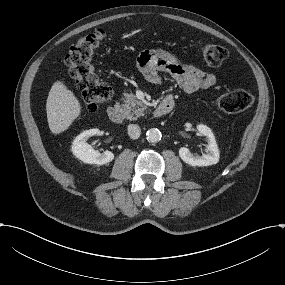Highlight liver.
Returning <instances> with one entry per match:
<instances>
[{"label": "liver", "instance_id": "1", "mask_svg": "<svg viewBox=\"0 0 285 285\" xmlns=\"http://www.w3.org/2000/svg\"><path fill=\"white\" fill-rule=\"evenodd\" d=\"M47 119L53 135L67 131L82 114L79 98L71 91L64 78L57 79L52 85L47 103Z\"/></svg>", "mask_w": 285, "mask_h": 285}]
</instances>
